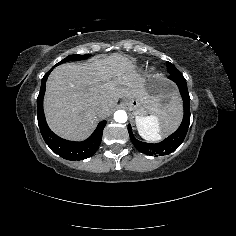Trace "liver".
I'll return each instance as SVG.
<instances>
[{
	"label": "liver",
	"mask_w": 236,
	"mask_h": 236,
	"mask_svg": "<svg viewBox=\"0 0 236 236\" xmlns=\"http://www.w3.org/2000/svg\"><path fill=\"white\" fill-rule=\"evenodd\" d=\"M143 82L133 62L118 53L103 59L93 57L84 63L62 64L46 82L47 123L59 136L79 141L93 132L98 120L113 113L119 98L139 99L150 114L159 116L170 107L182 109L179 100H174L167 109H159L145 96Z\"/></svg>",
	"instance_id": "1"
}]
</instances>
